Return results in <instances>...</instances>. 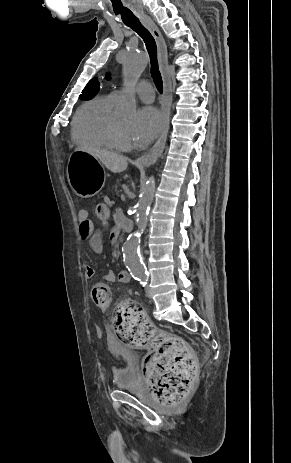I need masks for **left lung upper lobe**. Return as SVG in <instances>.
<instances>
[{
  "mask_svg": "<svg viewBox=\"0 0 291 463\" xmlns=\"http://www.w3.org/2000/svg\"><path fill=\"white\" fill-rule=\"evenodd\" d=\"M99 82L97 78L91 79L85 88L82 91V94L79 96L82 100H87L93 98L99 91Z\"/></svg>",
  "mask_w": 291,
  "mask_h": 463,
  "instance_id": "1",
  "label": "left lung upper lobe"
}]
</instances>
